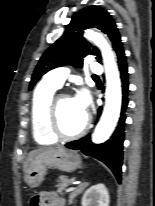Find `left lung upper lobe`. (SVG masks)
Instances as JSON below:
<instances>
[{"label": "left lung upper lobe", "instance_id": "1", "mask_svg": "<svg viewBox=\"0 0 155 206\" xmlns=\"http://www.w3.org/2000/svg\"><path fill=\"white\" fill-rule=\"evenodd\" d=\"M92 27L108 35L115 51L122 46L118 29L111 15L98 6L85 7L72 17L64 35L42 55L34 70L29 89L31 90L41 76L51 69L67 64L82 67L83 59L87 55H94L101 63L99 50L82 36L85 29Z\"/></svg>", "mask_w": 155, "mask_h": 206}]
</instances>
